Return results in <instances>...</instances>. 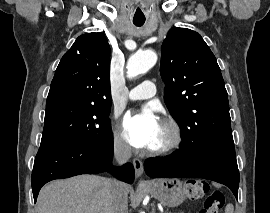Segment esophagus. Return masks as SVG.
Returning <instances> with one entry per match:
<instances>
[{
	"mask_svg": "<svg viewBox=\"0 0 270 213\" xmlns=\"http://www.w3.org/2000/svg\"><path fill=\"white\" fill-rule=\"evenodd\" d=\"M133 166H134L136 177L138 178L142 177L143 171H144L143 162L139 158H134Z\"/></svg>",
	"mask_w": 270,
	"mask_h": 213,
	"instance_id": "34e87169",
	"label": "esophagus"
}]
</instances>
